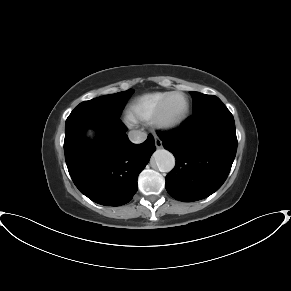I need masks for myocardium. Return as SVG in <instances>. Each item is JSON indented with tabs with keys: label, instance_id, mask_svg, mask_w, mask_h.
Segmentation results:
<instances>
[{
	"label": "myocardium",
	"instance_id": "obj_1",
	"mask_svg": "<svg viewBox=\"0 0 291 291\" xmlns=\"http://www.w3.org/2000/svg\"><path fill=\"white\" fill-rule=\"evenodd\" d=\"M177 95H181L185 98L186 100V108H185V112L183 113V115L181 116V118H179L178 120L175 121H167L165 119V112H166V107L170 101V99L174 96ZM190 114V101L188 96L183 93V92H179V91H174V92H170L160 103V105L158 106L153 118H152V124L158 128V129H162V130H173L178 128L179 126H181L189 117Z\"/></svg>",
	"mask_w": 291,
	"mask_h": 291
}]
</instances>
